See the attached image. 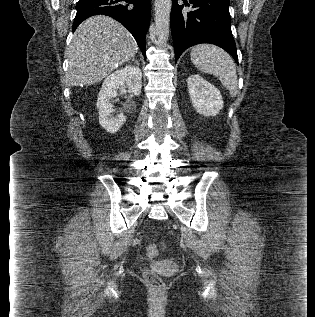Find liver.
I'll list each match as a JSON object with an SVG mask.
<instances>
[{
    "mask_svg": "<svg viewBox=\"0 0 315 317\" xmlns=\"http://www.w3.org/2000/svg\"><path fill=\"white\" fill-rule=\"evenodd\" d=\"M132 35L116 20L98 15L82 22L67 49L70 86L93 85L137 52Z\"/></svg>",
    "mask_w": 315,
    "mask_h": 317,
    "instance_id": "liver-1",
    "label": "liver"
}]
</instances>
